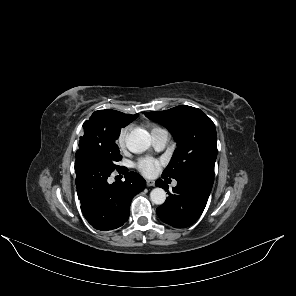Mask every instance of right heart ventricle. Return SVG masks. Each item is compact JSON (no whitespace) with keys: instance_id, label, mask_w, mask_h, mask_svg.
Segmentation results:
<instances>
[{"instance_id":"1","label":"right heart ventricle","mask_w":296,"mask_h":296,"mask_svg":"<svg viewBox=\"0 0 296 296\" xmlns=\"http://www.w3.org/2000/svg\"><path fill=\"white\" fill-rule=\"evenodd\" d=\"M159 130H161L160 127H158V126H152V127H151V134H153V133H155V132H157V131H159Z\"/></svg>"}]
</instances>
